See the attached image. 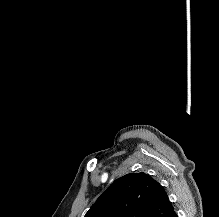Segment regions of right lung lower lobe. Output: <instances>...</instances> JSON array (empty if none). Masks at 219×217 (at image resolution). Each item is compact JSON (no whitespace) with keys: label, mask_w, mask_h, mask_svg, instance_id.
<instances>
[{"label":"right lung lower lobe","mask_w":219,"mask_h":217,"mask_svg":"<svg viewBox=\"0 0 219 217\" xmlns=\"http://www.w3.org/2000/svg\"><path fill=\"white\" fill-rule=\"evenodd\" d=\"M167 217H178L175 210H173Z\"/></svg>","instance_id":"1"}]
</instances>
